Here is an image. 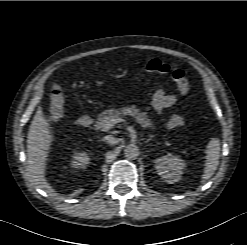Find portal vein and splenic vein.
Instances as JSON below:
<instances>
[{
    "label": "portal vein and splenic vein",
    "mask_w": 247,
    "mask_h": 245,
    "mask_svg": "<svg viewBox=\"0 0 247 245\" xmlns=\"http://www.w3.org/2000/svg\"><path fill=\"white\" fill-rule=\"evenodd\" d=\"M120 122H125V119H123V118H116V117L109 118L107 120V122H106V127L107 128H111L115 124L120 123Z\"/></svg>",
    "instance_id": "1"
}]
</instances>
